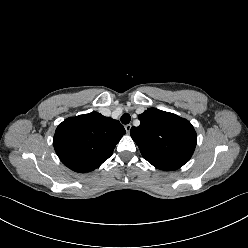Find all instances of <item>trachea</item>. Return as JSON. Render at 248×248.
Wrapping results in <instances>:
<instances>
[{
    "instance_id": "obj_1",
    "label": "trachea",
    "mask_w": 248,
    "mask_h": 248,
    "mask_svg": "<svg viewBox=\"0 0 248 248\" xmlns=\"http://www.w3.org/2000/svg\"><path fill=\"white\" fill-rule=\"evenodd\" d=\"M121 122L123 123V124H128L129 122H130V120H131V117H130V115L128 114V113H124L122 116H121Z\"/></svg>"
}]
</instances>
